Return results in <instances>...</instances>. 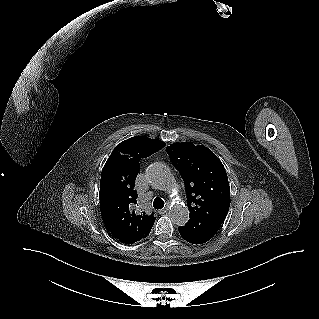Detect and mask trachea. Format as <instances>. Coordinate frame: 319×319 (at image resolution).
I'll list each match as a JSON object with an SVG mask.
<instances>
[{"label":"trachea","instance_id":"trachea-1","mask_svg":"<svg viewBox=\"0 0 319 319\" xmlns=\"http://www.w3.org/2000/svg\"><path fill=\"white\" fill-rule=\"evenodd\" d=\"M153 207L157 210L162 209L164 207V201L159 197L155 198L153 201Z\"/></svg>","mask_w":319,"mask_h":319}]
</instances>
